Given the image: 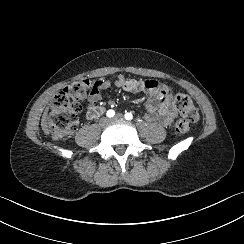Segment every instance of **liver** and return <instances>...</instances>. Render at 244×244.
<instances>
[{
  "mask_svg": "<svg viewBox=\"0 0 244 244\" xmlns=\"http://www.w3.org/2000/svg\"><path fill=\"white\" fill-rule=\"evenodd\" d=\"M48 111H49V107L46 108L41 119V127L45 135H49L48 121H47Z\"/></svg>",
  "mask_w": 244,
  "mask_h": 244,
  "instance_id": "liver-1",
  "label": "liver"
}]
</instances>
